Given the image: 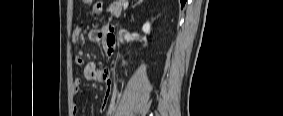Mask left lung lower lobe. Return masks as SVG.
Segmentation results:
<instances>
[{"mask_svg": "<svg viewBox=\"0 0 283 116\" xmlns=\"http://www.w3.org/2000/svg\"><path fill=\"white\" fill-rule=\"evenodd\" d=\"M180 1H181V6L183 7L185 2H186V0H180Z\"/></svg>", "mask_w": 283, "mask_h": 116, "instance_id": "1", "label": "left lung lower lobe"}]
</instances>
